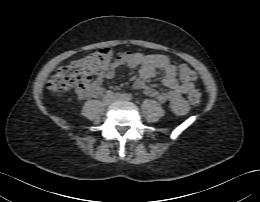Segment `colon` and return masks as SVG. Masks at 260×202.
Returning a JSON list of instances; mask_svg holds the SVG:
<instances>
[{"instance_id":"1","label":"colon","mask_w":260,"mask_h":202,"mask_svg":"<svg viewBox=\"0 0 260 202\" xmlns=\"http://www.w3.org/2000/svg\"><path fill=\"white\" fill-rule=\"evenodd\" d=\"M114 53L109 48H103L89 53L83 58L74 60L62 66L49 79L48 88L51 91L69 92L73 89H82L88 80L94 75L106 70L110 65ZM179 77L184 82H192L196 78V73L187 64L178 66ZM189 100L192 104H198L201 100L199 90L189 92Z\"/></svg>"}]
</instances>
